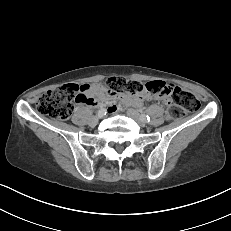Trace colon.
I'll use <instances>...</instances> for the list:
<instances>
[{
    "mask_svg": "<svg viewBox=\"0 0 231 231\" xmlns=\"http://www.w3.org/2000/svg\"><path fill=\"white\" fill-rule=\"evenodd\" d=\"M106 88L125 97L139 95L144 90L150 99L162 94L170 95L171 99L166 102V115L171 120L180 119L187 112H196L200 107L194 94L163 81H152L143 85L138 81L112 77L107 80ZM84 101L85 96L80 91V87L76 84H67L43 94L38 99L36 108L39 113L52 119L64 120L70 116L73 102L82 103Z\"/></svg>",
    "mask_w": 231,
    "mask_h": 231,
    "instance_id": "1",
    "label": "colon"
}]
</instances>
